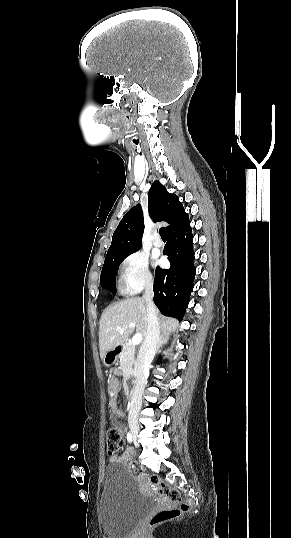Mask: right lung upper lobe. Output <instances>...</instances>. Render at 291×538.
Returning a JSON list of instances; mask_svg holds the SVG:
<instances>
[{
  "mask_svg": "<svg viewBox=\"0 0 291 538\" xmlns=\"http://www.w3.org/2000/svg\"><path fill=\"white\" fill-rule=\"evenodd\" d=\"M148 210L154 222L165 221L169 223L167 233L173 231L189 221L179 198L168 193L166 188L155 181L148 193ZM144 231V219L141 205L131 208L116 228L105 260L131 254L140 249L141 238Z\"/></svg>",
  "mask_w": 291,
  "mask_h": 538,
  "instance_id": "obj_1",
  "label": "right lung upper lobe"
}]
</instances>
